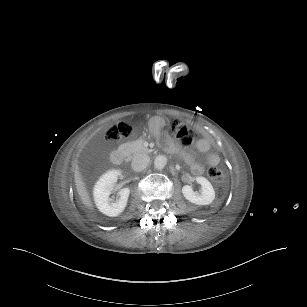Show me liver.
I'll return each mask as SVG.
<instances>
[{"label":"liver","instance_id":"liver-1","mask_svg":"<svg viewBox=\"0 0 307 307\" xmlns=\"http://www.w3.org/2000/svg\"><path fill=\"white\" fill-rule=\"evenodd\" d=\"M74 182H75L77 193L79 195V199L82 202V204L88 210L95 211V207H94L92 198L86 187V183L84 182V178L80 172V168L78 164L76 165L75 171H74Z\"/></svg>","mask_w":307,"mask_h":307}]
</instances>
